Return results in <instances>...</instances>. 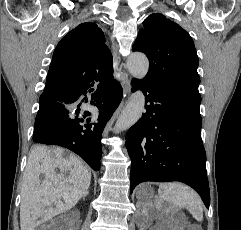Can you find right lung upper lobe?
I'll return each instance as SVG.
<instances>
[{
	"mask_svg": "<svg viewBox=\"0 0 241 230\" xmlns=\"http://www.w3.org/2000/svg\"><path fill=\"white\" fill-rule=\"evenodd\" d=\"M112 60L103 31L97 24L78 25L55 48L40 98L63 100L114 81Z\"/></svg>",
	"mask_w": 241,
	"mask_h": 230,
	"instance_id": "obj_1",
	"label": "right lung upper lobe"
}]
</instances>
